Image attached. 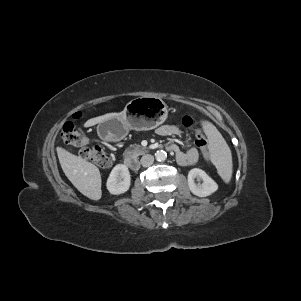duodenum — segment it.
<instances>
[{
  "mask_svg": "<svg viewBox=\"0 0 301 301\" xmlns=\"http://www.w3.org/2000/svg\"><path fill=\"white\" fill-rule=\"evenodd\" d=\"M168 149H169L170 151H173V148H171V147H168ZM124 164H125L129 169H132V170H135V169L138 168V162H137L135 159H133V158H127V159H125Z\"/></svg>",
  "mask_w": 301,
  "mask_h": 301,
  "instance_id": "410a0bca",
  "label": "duodenum"
}]
</instances>
